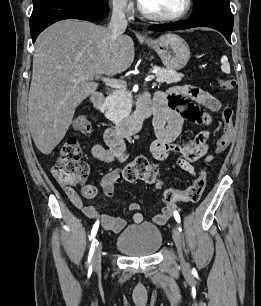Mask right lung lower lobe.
Here are the masks:
<instances>
[{"label":"right lung lower lobe","instance_id":"obj_1","mask_svg":"<svg viewBox=\"0 0 261 306\" xmlns=\"http://www.w3.org/2000/svg\"><path fill=\"white\" fill-rule=\"evenodd\" d=\"M109 13L106 6L90 0H33L30 32L33 43L48 26L64 19L98 21Z\"/></svg>","mask_w":261,"mask_h":306}]
</instances>
